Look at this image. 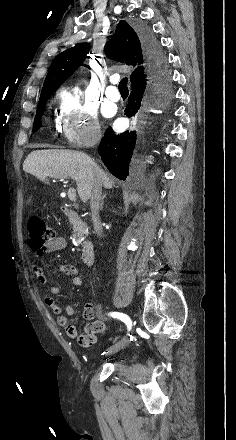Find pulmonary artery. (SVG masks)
Segmentation results:
<instances>
[{"label":"pulmonary artery","instance_id":"1","mask_svg":"<svg viewBox=\"0 0 236 440\" xmlns=\"http://www.w3.org/2000/svg\"><path fill=\"white\" fill-rule=\"evenodd\" d=\"M110 84L106 91L105 94L107 96L108 99L112 100V101H118L120 99V94L117 90V88L115 87V81L113 79H110Z\"/></svg>","mask_w":236,"mask_h":440}]
</instances>
